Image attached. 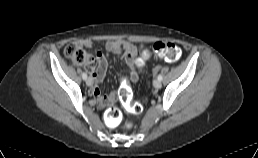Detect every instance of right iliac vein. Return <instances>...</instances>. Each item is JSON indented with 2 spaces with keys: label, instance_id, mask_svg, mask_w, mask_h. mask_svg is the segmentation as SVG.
I'll return each instance as SVG.
<instances>
[{
  "label": "right iliac vein",
  "instance_id": "right-iliac-vein-1",
  "mask_svg": "<svg viewBox=\"0 0 258 158\" xmlns=\"http://www.w3.org/2000/svg\"><path fill=\"white\" fill-rule=\"evenodd\" d=\"M86 84H87L88 86H91V85H92V79H91V77H89V78L86 79Z\"/></svg>",
  "mask_w": 258,
  "mask_h": 158
}]
</instances>
